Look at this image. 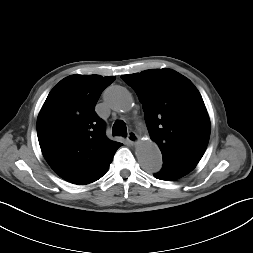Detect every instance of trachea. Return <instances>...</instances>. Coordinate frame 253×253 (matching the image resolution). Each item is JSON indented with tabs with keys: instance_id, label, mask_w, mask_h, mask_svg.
Masks as SVG:
<instances>
[{
	"instance_id": "obj_1",
	"label": "trachea",
	"mask_w": 253,
	"mask_h": 253,
	"mask_svg": "<svg viewBox=\"0 0 253 253\" xmlns=\"http://www.w3.org/2000/svg\"><path fill=\"white\" fill-rule=\"evenodd\" d=\"M112 134L114 136H127V127L125 122L117 120L113 125Z\"/></svg>"
}]
</instances>
